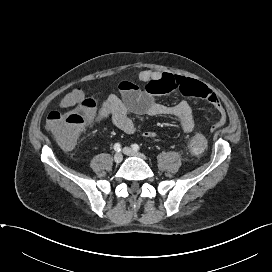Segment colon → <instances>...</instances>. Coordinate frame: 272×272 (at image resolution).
<instances>
[{"mask_svg":"<svg viewBox=\"0 0 272 272\" xmlns=\"http://www.w3.org/2000/svg\"><path fill=\"white\" fill-rule=\"evenodd\" d=\"M61 106L62 111L48 114L46 126L60 145L69 148L75 144L96 103L84 97L81 91L73 90L64 97ZM189 146L193 153L199 154L205 150L207 140L205 136L197 134L192 137Z\"/></svg>","mask_w":272,"mask_h":272,"instance_id":"1","label":"colon"}]
</instances>
